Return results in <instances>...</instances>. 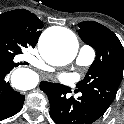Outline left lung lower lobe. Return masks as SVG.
<instances>
[{"instance_id": "left-lung-lower-lobe-1", "label": "left lung lower lobe", "mask_w": 124, "mask_h": 124, "mask_svg": "<svg viewBox=\"0 0 124 124\" xmlns=\"http://www.w3.org/2000/svg\"><path fill=\"white\" fill-rule=\"evenodd\" d=\"M50 102V116L56 124H93L105 111L90 97L66 98L71 89L59 83L41 82Z\"/></svg>"}]
</instances>
